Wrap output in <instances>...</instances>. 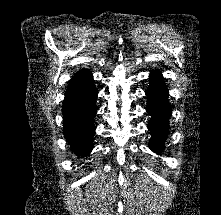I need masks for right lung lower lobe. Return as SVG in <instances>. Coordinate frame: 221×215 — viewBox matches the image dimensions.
Instances as JSON below:
<instances>
[{"instance_id": "1", "label": "right lung lower lobe", "mask_w": 221, "mask_h": 215, "mask_svg": "<svg viewBox=\"0 0 221 215\" xmlns=\"http://www.w3.org/2000/svg\"><path fill=\"white\" fill-rule=\"evenodd\" d=\"M96 97L97 90L91 73L83 69L74 74L66 90L62 108L63 134L78 156L88 155L93 149Z\"/></svg>"}]
</instances>
